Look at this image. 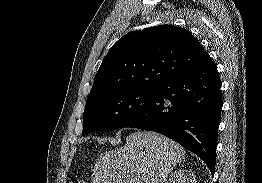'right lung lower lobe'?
Masks as SVG:
<instances>
[{"label":"right lung lower lobe","mask_w":262,"mask_h":183,"mask_svg":"<svg viewBox=\"0 0 262 183\" xmlns=\"http://www.w3.org/2000/svg\"><path fill=\"white\" fill-rule=\"evenodd\" d=\"M220 87L217 66L211 60L161 84L151 104L125 127L173 139L200 157L214 175L223 106Z\"/></svg>","instance_id":"obj_1"}]
</instances>
